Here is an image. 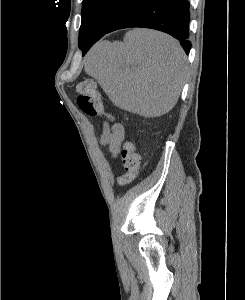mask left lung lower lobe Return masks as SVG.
Masks as SVG:
<instances>
[{
	"mask_svg": "<svg viewBox=\"0 0 245 300\" xmlns=\"http://www.w3.org/2000/svg\"><path fill=\"white\" fill-rule=\"evenodd\" d=\"M189 1L188 0H136L124 10L109 26L105 33L88 37L83 55L105 34L123 28L141 27L166 32L180 40L186 53L191 49L188 40Z\"/></svg>",
	"mask_w": 245,
	"mask_h": 300,
	"instance_id": "0a47b994",
	"label": "left lung lower lobe"
}]
</instances>
